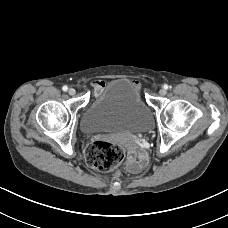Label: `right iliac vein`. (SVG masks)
Here are the masks:
<instances>
[{"mask_svg": "<svg viewBox=\"0 0 228 228\" xmlns=\"http://www.w3.org/2000/svg\"><path fill=\"white\" fill-rule=\"evenodd\" d=\"M68 93H69V95H74V94L76 93V91H75V89L70 88V89L68 90Z\"/></svg>", "mask_w": 228, "mask_h": 228, "instance_id": "obj_1", "label": "right iliac vein"}]
</instances>
